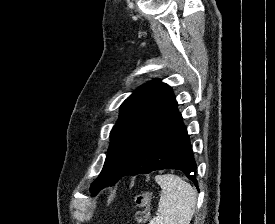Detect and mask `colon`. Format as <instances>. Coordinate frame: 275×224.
Returning a JSON list of instances; mask_svg holds the SVG:
<instances>
[{"label":"colon","instance_id":"colon-1","mask_svg":"<svg viewBox=\"0 0 275 224\" xmlns=\"http://www.w3.org/2000/svg\"><path fill=\"white\" fill-rule=\"evenodd\" d=\"M151 202V194L144 192V193H140L136 196V204L138 207H140L142 209L141 212L138 213L137 215V221L138 222H144L147 217H148V206L150 205Z\"/></svg>","mask_w":275,"mask_h":224}]
</instances>
